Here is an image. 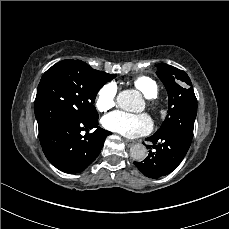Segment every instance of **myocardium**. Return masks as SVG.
Wrapping results in <instances>:
<instances>
[{"label": "myocardium", "instance_id": "myocardium-1", "mask_svg": "<svg viewBox=\"0 0 229 229\" xmlns=\"http://www.w3.org/2000/svg\"><path fill=\"white\" fill-rule=\"evenodd\" d=\"M150 106L153 110H157L160 108V104L158 101L155 100V97L150 99Z\"/></svg>", "mask_w": 229, "mask_h": 229}]
</instances>
